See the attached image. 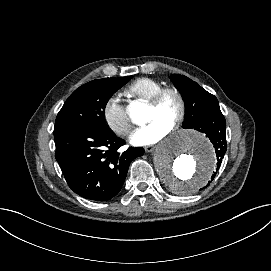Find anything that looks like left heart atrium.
Returning <instances> with one entry per match:
<instances>
[{
	"label": "left heart atrium",
	"instance_id": "39dd6f15",
	"mask_svg": "<svg viewBox=\"0 0 271 271\" xmlns=\"http://www.w3.org/2000/svg\"><path fill=\"white\" fill-rule=\"evenodd\" d=\"M171 132V127L161 123L160 121H153L146 126L137 128L130 135V142L135 146H151L167 137Z\"/></svg>",
	"mask_w": 271,
	"mask_h": 271
}]
</instances>
